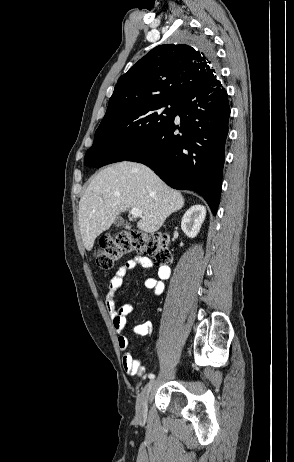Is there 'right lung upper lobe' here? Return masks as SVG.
I'll list each match as a JSON object with an SVG mask.
<instances>
[{
  "instance_id": "1",
  "label": "right lung upper lobe",
  "mask_w": 294,
  "mask_h": 462,
  "mask_svg": "<svg viewBox=\"0 0 294 462\" xmlns=\"http://www.w3.org/2000/svg\"><path fill=\"white\" fill-rule=\"evenodd\" d=\"M213 51L186 44L159 45L122 75L106 115L161 96H180L217 78Z\"/></svg>"
}]
</instances>
